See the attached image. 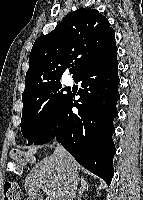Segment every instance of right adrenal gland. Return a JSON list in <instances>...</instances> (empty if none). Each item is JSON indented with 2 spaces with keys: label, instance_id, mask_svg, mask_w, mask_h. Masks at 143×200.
Listing matches in <instances>:
<instances>
[{
  "label": "right adrenal gland",
  "instance_id": "2a0ac1e0",
  "mask_svg": "<svg viewBox=\"0 0 143 200\" xmlns=\"http://www.w3.org/2000/svg\"><path fill=\"white\" fill-rule=\"evenodd\" d=\"M88 190H89V184L87 183L86 180L81 179V189H80V191H79V194H78L76 200H81V197H82L83 193H84L85 191H88Z\"/></svg>",
  "mask_w": 143,
  "mask_h": 200
}]
</instances>
